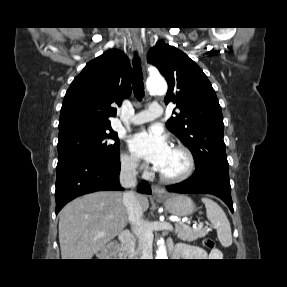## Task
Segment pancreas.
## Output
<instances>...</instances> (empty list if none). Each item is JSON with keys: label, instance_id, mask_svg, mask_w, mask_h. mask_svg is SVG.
Here are the masks:
<instances>
[{"label": "pancreas", "instance_id": "obj_1", "mask_svg": "<svg viewBox=\"0 0 287 287\" xmlns=\"http://www.w3.org/2000/svg\"><path fill=\"white\" fill-rule=\"evenodd\" d=\"M175 234L177 237L183 241L192 242L197 240L198 238L204 237L208 234V230L206 228H190L184 224L178 223L175 225ZM132 247H135V242H132Z\"/></svg>", "mask_w": 287, "mask_h": 287}]
</instances>
